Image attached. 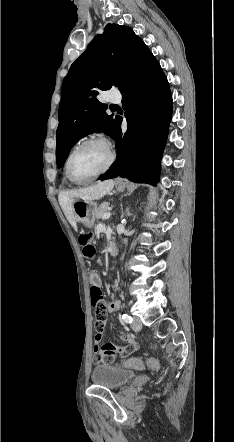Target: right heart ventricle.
I'll list each match as a JSON object with an SVG mask.
<instances>
[{
	"instance_id": "obj_1",
	"label": "right heart ventricle",
	"mask_w": 234,
	"mask_h": 442,
	"mask_svg": "<svg viewBox=\"0 0 234 442\" xmlns=\"http://www.w3.org/2000/svg\"><path fill=\"white\" fill-rule=\"evenodd\" d=\"M65 175H66V178H67L71 183H73V182L69 179V177L67 176L66 170H65Z\"/></svg>"
}]
</instances>
